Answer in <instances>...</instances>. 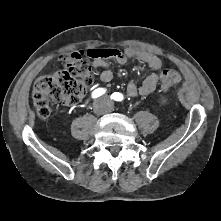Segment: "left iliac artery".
Returning a JSON list of instances; mask_svg holds the SVG:
<instances>
[{
    "mask_svg": "<svg viewBox=\"0 0 221 221\" xmlns=\"http://www.w3.org/2000/svg\"><path fill=\"white\" fill-rule=\"evenodd\" d=\"M111 99H113L115 101H122L123 95L121 93L115 92L111 95Z\"/></svg>",
    "mask_w": 221,
    "mask_h": 221,
    "instance_id": "1",
    "label": "left iliac artery"
}]
</instances>
